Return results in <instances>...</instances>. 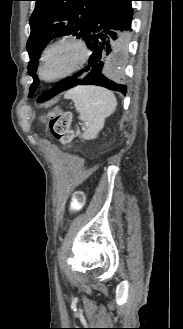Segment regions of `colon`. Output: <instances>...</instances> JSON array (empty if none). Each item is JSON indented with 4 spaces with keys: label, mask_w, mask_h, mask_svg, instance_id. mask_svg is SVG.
<instances>
[{
    "label": "colon",
    "mask_w": 183,
    "mask_h": 329,
    "mask_svg": "<svg viewBox=\"0 0 183 329\" xmlns=\"http://www.w3.org/2000/svg\"><path fill=\"white\" fill-rule=\"evenodd\" d=\"M49 120V128L54 138L61 143H68L72 138V131L70 124L72 120V114L69 111L61 110L59 108H53L47 115ZM83 204V195L76 193L72 199V206H66L65 219L69 220L74 217H81L82 212L78 210Z\"/></svg>",
    "instance_id": "1"
}]
</instances>
